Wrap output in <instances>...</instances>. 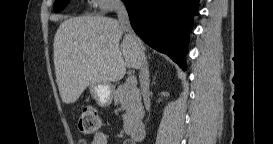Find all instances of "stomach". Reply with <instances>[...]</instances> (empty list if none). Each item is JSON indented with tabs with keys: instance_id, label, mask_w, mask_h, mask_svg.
<instances>
[{
	"instance_id": "0dacf381",
	"label": "stomach",
	"mask_w": 273,
	"mask_h": 144,
	"mask_svg": "<svg viewBox=\"0 0 273 144\" xmlns=\"http://www.w3.org/2000/svg\"><path fill=\"white\" fill-rule=\"evenodd\" d=\"M93 99L101 107H108L113 100L114 87L107 83H97L90 86Z\"/></svg>"
}]
</instances>
